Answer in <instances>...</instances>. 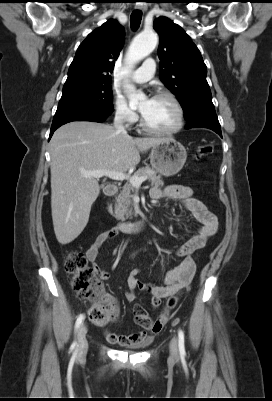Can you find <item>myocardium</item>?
I'll use <instances>...</instances> for the list:
<instances>
[{"label": "myocardium", "instance_id": "1", "mask_svg": "<svg viewBox=\"0 0 272 401\" xmlns=\"http://www.w3.org/2000/svg\"><path fill=\"white\" fill-rule=\"evenodd\" d=\"M155 98L168 99L173 103V105L176 109V112H177V122L170 129H166V130L154 129L146 124V122L144 121L143 116L141 114L140 119H139L140 128L146 133L153 134V135H160V136H168V135H173V134L178 133L183 128L184 120H185L184 109H183V106L180 103L179 99L175 95H173L172 93H169V92H158L153 96V99H155Z\"/></svg>", "mask_w": 272, "mask_h": 401}]
</instances>
